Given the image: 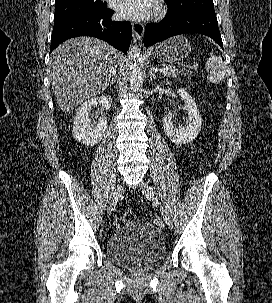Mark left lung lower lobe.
I'll list each match as a JSON object with an SVG mask.
<instances>
[{"label": "left lung lower lobe", "mask_w": 272, "mask_h": 303, "mask_svg": "<svg viewBox=\"0 0 272 303\" xmlns=\"http://www.w3.org/2000/svg\"><path fill=\"white\" fill-rule=\"evenodd\" d=\"M185 33L206 35L223 49L214 11L186 12L176 16L167 15L157 24H147L145 27V46L148 47L169 37Z\"/></svg>", "instance_id": "left-lung-lower-lobe-1"}]
</instances>
